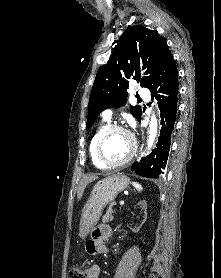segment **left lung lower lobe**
Masks as SVG:
<instances>
[{
	"mask_svg": "<svg viewBox=\"0 0 221 278\" xmlns=\"http://www.w3.org/2000/svg\"><path fill=\"white\" fill-rule=\"evenodd\" d=\"M149 90L158 100L161 111L160 136L153 152L133 163L131 170L143 177L158 178L166 166L177 113L178 71L173 59L155 78Z\"/></svg>",
	"mask_w": 221,
	"mask_h": 278,
	"instance_id": "0a47b994",
	"label": "left lung lower lobe"
}]
</instances>
